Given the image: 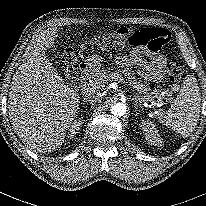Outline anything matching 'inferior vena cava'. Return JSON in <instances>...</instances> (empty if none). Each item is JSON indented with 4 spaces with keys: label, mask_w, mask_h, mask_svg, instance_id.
I'll return each mask as SVG.
<instances>
[{
    "label": "inferior vena cava",
    "mask_w": 206,
    "mask_h": 206,
    "mask_svg": "<svg viewBox=\"0 0 206 206\" xmlns=\"http://www.w3.org/2000/svg\"><path fill=\"white\" fill-rule=\"evenodd\" d=\"M82 93L83 95L86 97L85 99H88L90 102H99L100 101V97L96 95V88H82Z\"/></svg>",
    "instance_id": "inferior-vena-cava-1"
}]
</instances>
